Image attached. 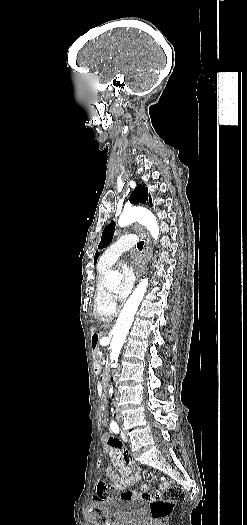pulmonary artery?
Returning <instances> with one entry per match:
<instances>
[{
	"instance_id": "1",
	"label": "pulmonary artery",
	"mask_w": 247,
	"mask_h": 525,
	"mask_svg": "<svg viewBox=\"0 0 247 525\" xmlns=\"http://www.w3.org/2000/svg\"><path fill=\"white\" fill-rule=\"evenodd\" d=\"M138 236H131V233H125L120 235L114 240L104 251L102 256L107 264H112L119 255L130 248H132L138 242Z\"/></svg>"
}]
</instances>
